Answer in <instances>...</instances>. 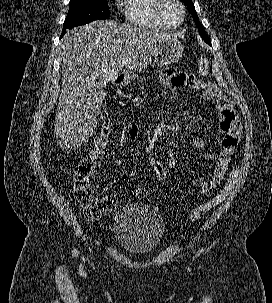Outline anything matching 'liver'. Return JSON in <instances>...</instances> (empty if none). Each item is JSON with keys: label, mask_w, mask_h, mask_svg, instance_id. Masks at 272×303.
Returning <instances> with one entry per match:
<instances>
[{"label": "liver", "mask_w": 272, "mask_h": 303, "mask_svg": "<svg viewBox=\"0 0 272 303\" xmlns=\"http://www.w3.org/2000/svg\"><path fill=\"white\" fill-rule=\"evenodd\" d=\"M171 35L103 20L64 35L62 88L54 124L62 148H78L93 135L106 96L105 81L114 80L123 67L134 71L147 68L159 44Z\"/></svg>", "instance_id": "obj_1"}]
</instances>
